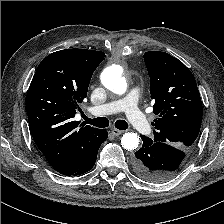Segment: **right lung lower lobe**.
<instances>
[{
	"instance_id": "1",
	"label": "right lung lower lobe",
	"mask_w": 224,
	"mask_h": 224,
	"mask_svg": "<svg viewBox=\"0 0 224 224\" xmlns=\"http://www.w3.org/2000/svg\"><path fill=\"white\" fill-rule=\"evenodd\" d=\"M107 137L108 132L105 129H102L97 140L84 153L79 163L59 173L63 175H80L89 171L95 164L100 145L107 139Z\"/></svg>"
}]
</instances>
